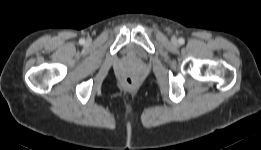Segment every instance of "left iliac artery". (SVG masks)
I'll list each match as a JSON object with an SVG mask.
<instances>
[{"label":"left iliac artery","mask_w":261,"mask_h":150,"mask_svg":"<svg viewBox=\"0 0 261 150\" xmlns=\"http://www.w3.org/2000/svg\"><path fill=\"white\" fill-rule=\"evenodd\" d=\"M178 42H179V44H181V45H182V44H184V42H185V41H184V39H183V38H179Z\"/></svg>","instance_id":"left-iliac-artery-1"}]
</instances>
